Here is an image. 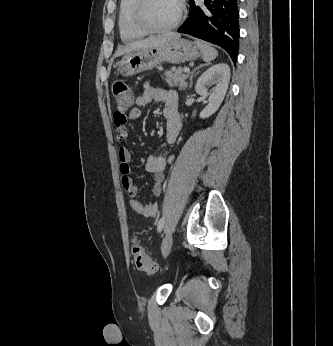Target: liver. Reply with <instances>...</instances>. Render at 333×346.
<instances>
[{"label":"liver","mask_w":333,"mask_h":346,"mask_svg":"<svg viewBox=\"0 0 333 346\" xmlns=\"http://www.w3.org/2000/svg\"><path fill=\"white\" fill-rule=\"evenodd\" d=\"M179 38H180V34H177V33H166L159 36L149 37L147 39L136 41L126 45L125 47L119 48L115 53V57L121 56L123 54L129 53L135 50H139V49H145L149 47L164 45L170 41L177 40Z\"/></svg>","instance_id":"6515ba94"}]
</instances>
